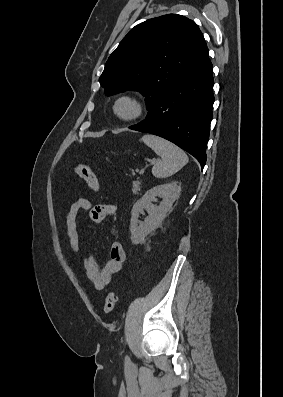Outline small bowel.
Here are the masks:
<instances>
[{
  "label": "small bowel",
  "mask_w": 283,
  "mask_h": 397,
  "mask_svg": "<svg viewBox=\"0 0 283 397\" xmlns=\"http://www.w3.org/2000/svg\"><path fill=\"white\" fill-rule=\"evenodd\" d=\"M81 211H88L91 220L101 223L104 220H113L117 214V207L113 204L93 205L88 199L79 198L75 200L66 210L64 223L69 240L70 248L73 252L80 250V236L78 232L77 217ZM112 232L114 229L112 228ZM126 259V253L122 244L114 241L110 248V256L105 265L101 268L93 256L84 259V267L88 279L98 290L105 288L118 273Z\"/></svg>",
  "instance_id": "c3829d8e"
}]
</instances>
